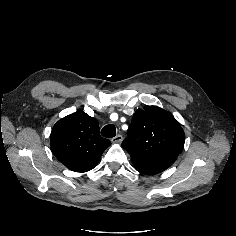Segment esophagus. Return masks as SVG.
<instances>
[{
	"label": "esophagus",
	"mask_w": 236,
	"mask_h": 236,
	"mask_svg": "<svg viewBox=\"0 0 236 236\" xmlns=\"http://www.w3.org/2000/svg\"><path fill=\"white\" fill-rule=\"evenodd\" d=\"M123 141V136L122 135H116L114 138H112L113 143H121Z\"/></svg>",
	"instance_id": "obj_1"
}]
</instances>
